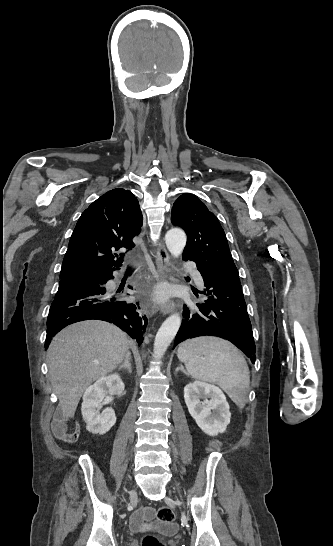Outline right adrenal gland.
Here are the masks:
<instances>
[{"mask_svg":"<svg viewBox=\"0 0 333 546\" xmlns=\"http://www.w3.org/2000/svg\"><path fill=\"white\" fill-rule=\"evenodd\" d=\"M130 360H131V353H130V351H127V353L125 355L124 363L118 367V370H121V369L124 368L125 370H127L131 374L132 373V367H131Z\"/></svg>","mask_w":333,"mask_h":546,"instance_id":"right-adrenal-gland-1","label":"right adrenal gland"}]
</instances>
